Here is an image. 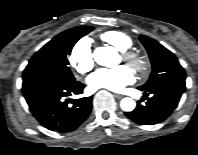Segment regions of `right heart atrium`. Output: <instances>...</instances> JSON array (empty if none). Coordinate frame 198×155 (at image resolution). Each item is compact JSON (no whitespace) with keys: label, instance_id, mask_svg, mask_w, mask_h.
Masks as SVG:
<instances>
[{"label":"right heart atrium","instance_id":"right-heart-atrium-1","mask_svg":"<svg viewBox=\"0 0 198 155\" xmlns=\"http://www.w3.org/2000/svg\"><path fill=\"white\" fill-rule=\"evenodd\" d=\"M69 61L72 67L80 74H85L93 68V53L88 39H81L73 46Z\"/></svg>","mask_w":198,"mask_h":155}]
</instances>
